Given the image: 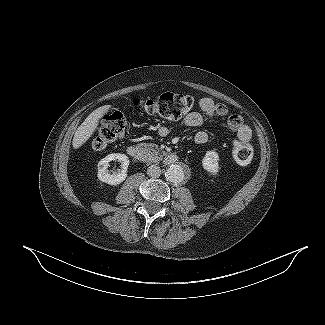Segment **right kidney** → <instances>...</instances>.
<instances>
[{
  "label": "right kidney",
  "instance_id": "1",
  "mask_svg": "<svg viewBox=\"0 0 325 325\" xmlns=\"http://www.w3.org/2000/svg\"><path fill=\"white\" fill-rule=\"evenodd\" d=\"M118 160L121 162V170L113 174L107 170L109 162ZM129 166V158L125 154L112 153L101 159L98 163V179L110 185L122 183L127 177V168Z\"/></svg>",
  "mask_w": 325,
  "mask_h": 325
}]
</instances>
